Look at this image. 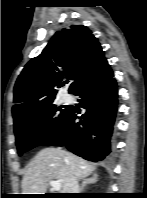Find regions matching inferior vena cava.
<instances>
[{"label":"inferior vena cava","mask_w":147,"mask_h":198,"mask_svg":"<svg viewBox=\"0 0 147 198\" xmlns=\"http://www.w3.org/2000/svg\"><path fill=\"white\" fill-rule=\"evenodd\" d=\"M69 193H79V186L76 177L72 176L70 178V189Z\"/></svg>","instance_id":"inferior-vena-cava-1"}]
</instances>
